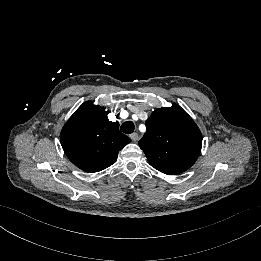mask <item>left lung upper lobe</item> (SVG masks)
<instances>
[{
  "mask_svg": "<svg viewBox=\"0 0 261 261\" xmlns=\"http://www.w3.org/2000/svg\"><path fill=\"white\" fill-rule=\"evenodd\" d=\"M138 144L152 167L176 175L189 169L198 158L202 135L191 117L173 104L151 114Z\"/></svg>",
  "mask_w": 261,
  "mask_h": 261,
  "instance_id": "obj_1",
  "label": "left lung upper lobe"
}]
</instances>
